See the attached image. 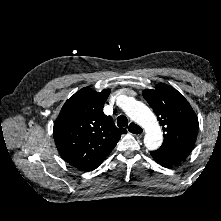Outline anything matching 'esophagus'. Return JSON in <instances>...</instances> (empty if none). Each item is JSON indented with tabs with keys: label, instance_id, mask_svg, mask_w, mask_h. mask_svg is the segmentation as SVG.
<instances>
[{
	"label": "esophagus",
	"instance_id": "obj_1",
	"mask_svg": "<svg viewBox=\"0 0 221 221\" xmlns=\"http://www.w3.org/2000/svg\"><path fill=\"white\" fill-rule=\"evenodd\" d=\"M128 132L132 135H142L144 133V130L135 124L134 122H131L127 128Z\"/></svg>",
	"mask_w": 221,
	"mask_h": 221
}]
</instances>
